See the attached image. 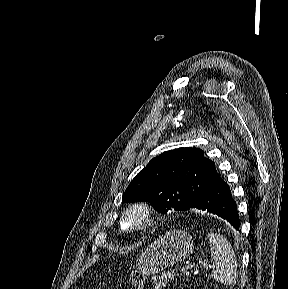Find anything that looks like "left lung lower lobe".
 <instances>
[{"mask_svg": "<svg viewBox=\"0 0 288 289\" xmlns=\"http://www.w3.org/2000/svg\"><path fill=\"white\" fill-rule=\"evenodd\" d=\"M192 208L216 214L227 220L236 230H239L236 202L231 196L230 187L221 177L196 198L189 209Z\"/></svg>", "mask_w": 288, "mask_h": 289, "instance_id": "1", "label": "left lung lower lobe"}]
</instances>
